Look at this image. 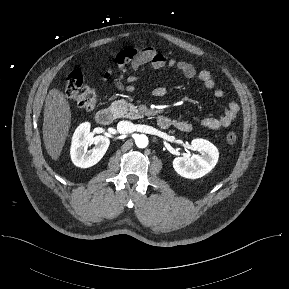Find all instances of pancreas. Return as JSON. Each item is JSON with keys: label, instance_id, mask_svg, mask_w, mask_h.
<instances>
[{"label": "pancreas", "instance_id": "obj_1", "mask_svg": "<svg viewBox=\"0 0 289 289\" xmlns=\"http://www.w3.org/2000/svg\"><path fill=\"white\" fill-rule=\"evenodd\" d=\"M109 108L117 118H140L139 111L136 107L124 99L114 101Z\"/></svg>", "mask_w": 289, "mask_h": 289}]
</instances>
